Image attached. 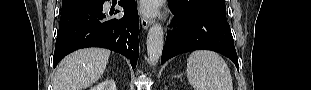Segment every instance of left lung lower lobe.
Returning <instances> with one entry per match:
<instances>
[{
  "label": "left lung lower lobe",
  "mask_w": 311,
  "mask_h": 90,
  "mask_svg": "<svg viewBox=\"0 0 311 90\" xmlns=\"http://www.w3.org/2000/svg\"><path fill=\"white\" fill-rule=\"evenodd\" d=\"M177 29L167 32L161 64L168 59L194 50H212L230 58L238 68V57L227 21L207 14H184L169 5Z\"/></svg>",
  "instance_id": "0a47b994"
}]
</instances>
